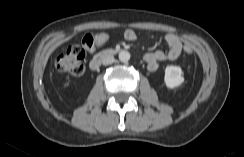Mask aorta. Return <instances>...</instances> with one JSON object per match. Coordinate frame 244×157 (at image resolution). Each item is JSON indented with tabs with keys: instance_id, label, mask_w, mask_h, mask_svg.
Masks as SVG:
<instances>
[{
	"instance_id": "762f6f07",
	"label": "aorta",
	"mask_w": 244,
	"mask_h": 157,
	"mask_svg": "<svg viewBox=\"0 0 244 157\" xmlns=\"http://www.w3.org/2000/svg\"><path fill=\"white\" fill-rule=\"evenodd\" d=\"M119 60L123 63H126L130 60V53L128 51H121L119 53Z\"/></svg>"
}]
</instances>
